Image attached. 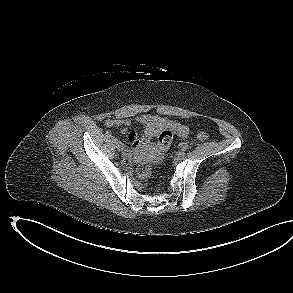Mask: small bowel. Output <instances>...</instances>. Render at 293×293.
Masks as SVG:
<instances>
[{
	"instance_id": "obj_1",
	"label": "small bowel",
	"mask_w": 293,
	"mask_h": 293,
	"mask_svg": "<svg viewBox=\"0 0 293 293\" xmlns=\"http://www.w3.org/2000/svg\"><path fill=\"white\" fill-rule=\"evenodd\" d=\"M137 120L143 125L144 136L139 137L134 131L128 132L127 127L131 124V120L127 118L108 119L105 122L107 127H113L120 125L123 127V132L128 135L129 141L136 148L144 146L153 137L159 136V134L165 130H170L181 138H185L189 135V128L174 120H169L159 115L144 114L137 118Z\"/></svg>"
}]
</instances>
